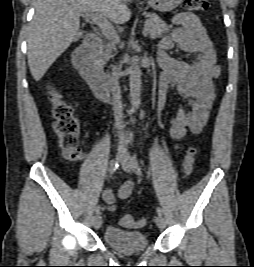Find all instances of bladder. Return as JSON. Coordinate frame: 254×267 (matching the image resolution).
Returning a JSON list of instances; mask_svg holds the SVG:
<instances>
[{
	"instance_id": "1",
	"label": "bladder",
	"mask_w": 254,
	"mask_h": 267,
	"mask_svg": "<svg viewBox=\"0 0 254 267\" xmlns=\"http://www.w3.org/2000/svg\"><path fill=\"white\" fill-rule=\"evenodd\" d=\"M103 239L112 248L126 253L141 252L148 246V238L138 230H124L109 225L103 232Z\"/></svg>"
}]
</instances>
